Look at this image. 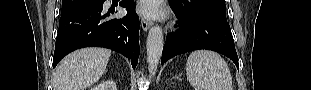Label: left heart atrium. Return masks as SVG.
<instances>
[{"label": "left heart atrium", "instance_id": "39dd6f15", "mask_svg": "<svg viewBox=\"0 0 311 90\" xmlns=\"http://www.w3.org/2000/svg\"><path fill=\"white\" fill-rule=\"evenodd\" d=\"M139 12L148 18H155L160 15L158 1L143 0L139 5Z\"/></svg>", "mask_w": 311, "mask_h": 90}]
</instances>
